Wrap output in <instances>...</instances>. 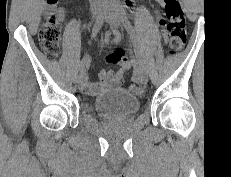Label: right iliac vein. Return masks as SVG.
I'll use <instances>...</instances> for the list:
<instances>
[{"mask_svg":"<svg viewBox=\"0 0 231 177\" xmlns=\"http://www.w3.org/2000/svg\"><path fill=\"white\" fill-rule=\"evenodd\" d=\"M99 15H100L99 9H95L93 11V17L97 19ZM77 84H78V88L79 89H84L86 87V84H87V75H86L85 72H82L79 75V77L77 78Z\"/></svg>","mask_w":231,"mask_h":177,"instance_id":"63e3f726","label":"right iliac vein"}]
</instances>
